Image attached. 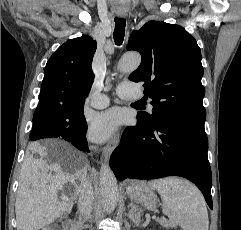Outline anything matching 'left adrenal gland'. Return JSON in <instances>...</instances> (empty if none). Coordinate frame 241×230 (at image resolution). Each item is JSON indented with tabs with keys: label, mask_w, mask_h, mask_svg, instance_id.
<instances>
[{
	"label": "left adrenal gland",
	"mask_w": 241,
	"mask_h": 230,
	"mask_svg": "<svg viewBox=\"0 0 241 230\" xmlns=\"http://www.w3.org/2000/svg\"><path fill=\"white\" fill-rule=\"evenodd\" d=\"M129 207H131V209L128 213V217L133 221L135 225H139L141 212L139 211L138 207L133 203H130Z\"/></svg>",
	"instance_id": "obj_1"
}]
</instances>
